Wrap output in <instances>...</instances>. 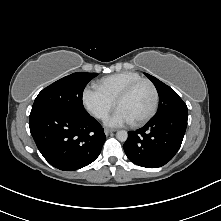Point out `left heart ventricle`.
Returning <instances> with one entry per match:
<instances>
[{"label":"left heart ventricle","instance_id":"1","mask_svg":"<svg viewBox=\"0 0 221 221\" xmlns=\"http://www.w3.org/2000/svg\"><path fill=\"white\" fill-rule=\"evenodd\" d=\"M154 95L151 86L147 83L139 85L126 99L118 106L131 119L136 121L143 118L151 110Z\"/></svg>","mask_w":221,"mask_h":221}]
</instances>
